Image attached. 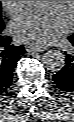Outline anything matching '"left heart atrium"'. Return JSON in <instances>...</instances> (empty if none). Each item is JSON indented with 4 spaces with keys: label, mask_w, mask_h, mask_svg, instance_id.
Instances as JSON below:
<instances>
[{
    "label": "left heart atrium",
    "mask_w": 74,
    "mask_h": 122,
    "mask_svg": "<svg viewBox=\"0 0 74 122\" xmlns=\"http://www.w3.org/2000/svg\"><path fill=\"white\" fill-rule=\"evenodd\" d=\"M70 25L57 6L28 10L11 23L16 39L21 43L43 45L64 34Z\"/></svg>",
    "instance_id": "39dd6f15"
}]
</instances>
